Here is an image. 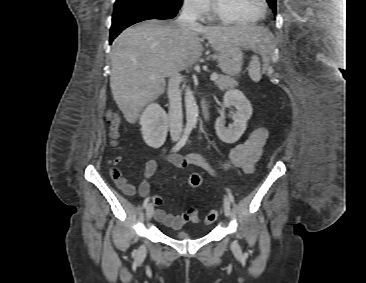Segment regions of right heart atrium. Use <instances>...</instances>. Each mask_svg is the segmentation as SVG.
Here are the masks:
<instances>
[{
	"instance_id": "obj_1",
	"label": "right heart atrium",
	"mask_w": 366,
	"mask_h": 283,
	"mask_svg": "<svg viewBox=\"0 0 366 283\" xmlns=\"http://www.w3.org/2000/svg\"><path fill=\"white\" fill-rule=\"evenodd\" d=\"M184 8L193 16L201 18L210 9V0H184Z\"/></svg>"
}]
</instances>
